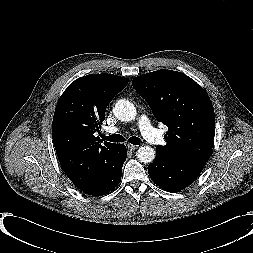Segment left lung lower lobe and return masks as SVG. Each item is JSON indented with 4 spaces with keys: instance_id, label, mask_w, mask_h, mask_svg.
<instances>
[{
    "instance_id": "0a47b994",
    "label": "left lung lower lobe",
    "mask_w": 253,
    "mask_h": 253,
    "mask_svg": "<svg viewBox=\"0 0 253 253\" xmlns=\"http://www.w3.org/2000/svg\"><path fill=\"white\" fill-rule=\"evenodd\" d=\"M205 164L202 160L176 158L156 152L155 161L148 166V173L162 189L177 192L194 182Z\"/></svg>"
}]
</instances>
